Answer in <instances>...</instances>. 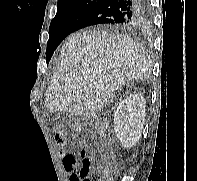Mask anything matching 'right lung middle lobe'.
Segmentation results:
<instances>
[{"label": "right lung middle lobe", "instance_id": "dd1d6c3e", "mask_svg": "<svg viewBox=\"0 0 197 181\" xmlns=\"http://www.w3.org/2000/svg\"><path fill=\"white\" fill-rule=\"evenodd\" d=\"M93 5L84 4L77 7L57 11L56 16L50 23L49 40L46 49V60L49 63L55 49L62 42V40L72 33L75 25L79 19L91 8Z\"/></svg>", "mask_w": 197, "mask_h": 181}]
</instances>
